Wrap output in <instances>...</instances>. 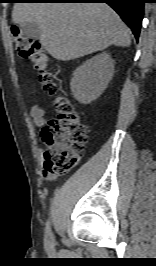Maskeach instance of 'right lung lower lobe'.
I'll return each mask as SVG.
<instances>
[{
  "instance_id": "1",
  "label": "right lung lower lobe",
  "mask_w": 156,
  "mask_h": 266,
  "mask_svg": "<svg viewBox=\"0 0 156 266\" xmlns=\"http://www.w3.org/2000/svg\"><path fill=\"white\" fill-rule=\"evenodd\" d=\"M52 3H107L122 18V20L131 28L136 40L142 25L144 0H30Z\"/></svg>"
}]
</instances>
